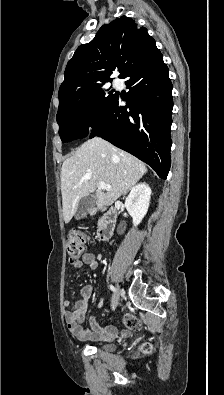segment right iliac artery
<instances>
[{
  "label": "right iliac artery",
  "mask_w": 224,
  "mask_h": 395,
  "mask_svg": "<svg viewBox=\"0 0 224 395\" xmlns=\"http://www.w3.org/2000/svg\"><path fill=\"white\" fill-rule=\"evenodd\" d=\"M109 287H110L111 291H113L114 293H116V288H115L113 285H110Z\"/></svg>",
  "instance_id": "82829eb1"
}]
</instances>
